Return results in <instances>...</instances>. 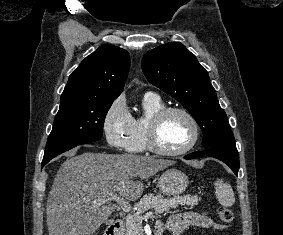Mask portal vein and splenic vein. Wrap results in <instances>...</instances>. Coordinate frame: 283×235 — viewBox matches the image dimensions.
<instances>
[{"mask_svg":"<svg viewBox=\"0 0 283 235\" xmlns=\"http://www.w3.org/2000/svg\"><path fill=\"white\" fill-rule=\"evenodd\" d=\"M114 200L115 202H117V204L120 206V208L126 212L129 213L132 209L131 205L129 204V202H127L126 200H124L123 198H120L118 196H113L112 198H109ZM108 201V199L105 200H99V202H105ZM153 216V212L149 211L147 212L145 215L141 216L140 221H143L149 217Z\"/></svg>","mask_w":283,"mask_h":235,"instance_id":"18ae733b","label":"portal vein and splenic vein"}]
</instances>
